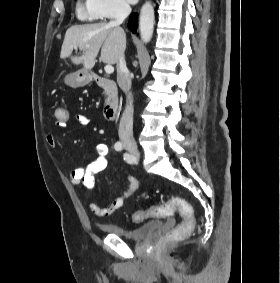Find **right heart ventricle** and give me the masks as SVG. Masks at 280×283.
Wrapping results in <instances>:
<instances>
[{"instance_id":"1","label":"right heart ventricle","mask_w":280,"mask_h":283,"mask_svg":"<svg viewBox=\"0 0 280 283\" xmlns=\"http://www.w3.org/2000/svg\"><path fill=\"white\" fill-rule=\"evenodd\" d=\"M76 13H77V16L80 18V19H88V18H93L90 13L88 12V9H87V4H83L81 2H78L77 3V6H76Z\"/></svg>"}]
</instances>
